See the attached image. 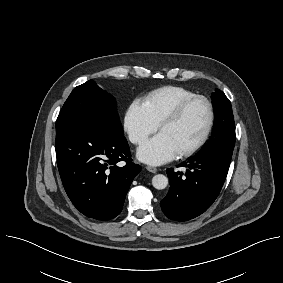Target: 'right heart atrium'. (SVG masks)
Here are the masks:
<instances>
[{
  "instance_id": "obj_1",
  "label": "right heart atrium",
  "mask_w": 283,
  "mask_h": 283,
  "mask_svg": "<svg viewBox=\"0 0 283 283\" xmlns=\"http://www.w3.org/2000/svg\"><path fill=\"white\" fill-rule=\"evenodd\" d=\"M158 127L141 100L135 99L129 104L124 117V129L133 144L143 143Z\"/></svg>"
}]
</instances>
